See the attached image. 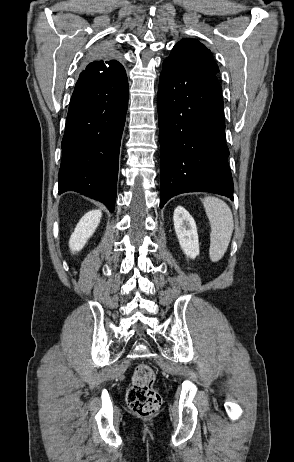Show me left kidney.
<instances>
[{
  "label": "left kidney",
  "mask_w": 294,
  "mask_h": 462,
  "mask_svg": "<svg viewBox=\"0 0 294 462\" xmlns=\"http://www.w3.org/2000/svg\"><path fill=\"white\" fill-rule=\"evenodd\" d=\"M174 229L185 255L191 259L199 255V241L196 223L182 206H177L173 215Z\"/></svg>",
  "instance_id": "1"
}]
</instances>
